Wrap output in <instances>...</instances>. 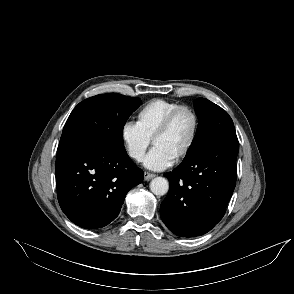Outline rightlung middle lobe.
Instances as JSON below:
<instances>
[{"label":"right lung middle lobe","mask_w":294,"mask_h":294,"mask_svg":"<svg viewBox=\"0 0 294 294\" xmlns=\"http://www.w3.org/2000/svg\"><path fill=\"white\" fill-rule=\"evenodd\" d=\"M140 104L139 98L115 93L99 94L80 102L63 128L57 155L77 146L123 145V127Z\"/></svg>","instance_id":"right-lung-middle-lobe-1"}]
</instances>
